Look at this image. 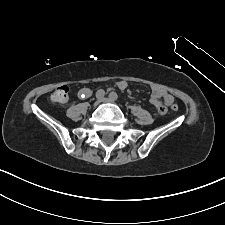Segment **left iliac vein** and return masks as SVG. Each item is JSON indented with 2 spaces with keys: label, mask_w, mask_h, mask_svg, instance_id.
Here are the masks:
<instances>
[{
  "label": "left iliac vein",
  "mask_w": 225,
  "mask_h": 225,
  "mask_svg": "<svg viewBox=\"0 0 225 225\" xmlns=\"http://www.w3.org/2000/svg\"><path fill=\"white\" fill-rule=\"evenodd\" d=\"M102 101L105 103H114V100L111 98H103Z\"/></svg>",
  "instance_id": "left-iliac-vein-1"
}]
</instances>
